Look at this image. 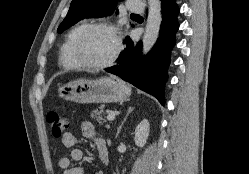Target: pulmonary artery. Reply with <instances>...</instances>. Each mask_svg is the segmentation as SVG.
<instances>
[{
  "label": "pulmonary artery",
  "instance_id": "obj_1",
  "mask_svg": "<svg viewBox=\"0 0 249 174\" xmlns=\"http://www.w3.org/2000/svg\"><path fill=\"white\" fill-rule=\"evenodd\" d=\"M128 10L132 13H142L145 9V5L141 0H128Z\"/></svg>",
  "mask_w": 249,
  "mask_h": 174
}]
</instances>
